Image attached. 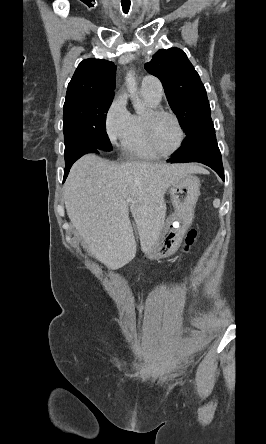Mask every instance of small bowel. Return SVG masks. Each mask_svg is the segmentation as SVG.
<instances>
[{
  "instance_id": "1",
  "label": "small bowel",
  "mask_w": 266,
  "mask_h": 444,
  "mask_svg": "<svg viewBox=\"0 0 266 444\" xmlns=\"http://www.w3.org/2000/svg\"><path fill=\"white\" fill-rule=\"evenodd\" d=\"M197 233L195 230H190L189 233L187 234L185 241H184V246H183V250L185 253H187L190 248L192 247L195 239H196Z\"/></svg>"
}]
</instances>
